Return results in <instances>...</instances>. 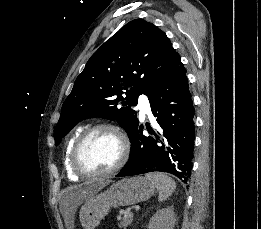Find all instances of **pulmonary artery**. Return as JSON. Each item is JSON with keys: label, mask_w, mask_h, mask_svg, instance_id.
Listing matches in <instances>:
<instances>
[{"label": "pulmonary artery", "mask_w": 261, "mask_h": 229, "mask_svg": "<svg viewBox=\"0 0 261 229\" xmlns=\"http://www.w3.org/2000/svg\"><path fill=\"white\" fill-rule=\"evenodd\" d=\"M146 93L143 92L139 95V104L138 109L140 112V118L141 120H144L146 117L151 116V111L149 105H151V100H149V96L145 95Z\"/></svg>", "instance_id": "pulmonary-artery-1"}]
</instances>
